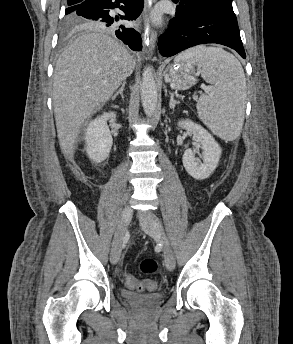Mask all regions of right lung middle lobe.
<instances>
[{
    "mask_svg": "<svg viewBox=\"0 0 293 344\" xmlns=\"http://www.w3.org/2000/svg\"><path fill=\"white\" fill-rule=\"evenodd\" d=\"M69 6L70 7L65 10L67 17L64 21L63 34L69 35L80 29H90L95 27L93 22L84 19L76 13L77 4Z\"/></svg>",
    "mask_w": 293,
    "mask_h": 344,
    "instance_id": "dd1d6c3e",
    "label": "right lung middle lobe"
}]
</instances>
